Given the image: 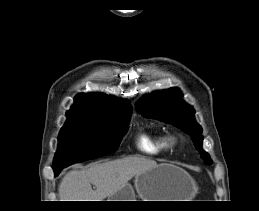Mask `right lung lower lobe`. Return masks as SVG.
<instances>
[{"label":"right lung lower lobe","mask_w":259,"mask_h":211,"mask_svg":"<svg viewBox=\"0 0 259 211\" xmlns=\"http://www.w3.org/2000/svg\"><path fill=\"white\" fill-rule=\"evenodd\" d=\"M60 172H55V175L57 176Z\"/></svg>","instance_id":"obj_1"}]
</instances>
